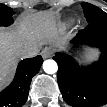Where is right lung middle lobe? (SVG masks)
Returning <instances> with one entry per match:
<instances>
[{"label":"right lung middle lobe","instance_id":"1","mask_svg":"<svg viewBox=\"0 0 107 107\" xmlns=\"http://www.w3.org/2000/svg\"><path fill=\"white\" fill-rule=\"evenodd\" d=\"M13 10L3 4L0 5V26H9L13 23Z\"/></svg>","mask_w":107,"mask_h":107}]
</instances>
